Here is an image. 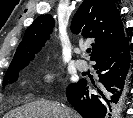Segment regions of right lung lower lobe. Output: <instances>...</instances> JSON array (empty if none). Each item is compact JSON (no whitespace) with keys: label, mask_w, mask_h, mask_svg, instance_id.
<instances>
[{"label":"right lung lower lobe","mask_w":133,"mask_h":118,"mask_svg":"<svg viewBox=\"0 0 133 118\" xmlns=\"http://www.w3.org/2000/svg\"><path fill=\"white\" fill-rule=\"evenodd\" d=\"M93 61L100 86L92 91L87 81L80 80L68 86L67 99L84 118H112L122 104L130 75L128 39L102 51Z\"/></svg>","instance_id":"1"}]
</instances>
